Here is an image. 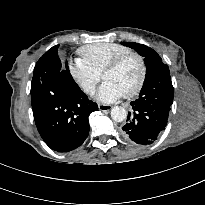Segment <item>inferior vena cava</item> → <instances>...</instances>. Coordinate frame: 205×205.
<instances>
[{"mask_svg": "<svg viewBox=\"0 0 205 205\" xmlns=\"http://www.w3.org/2000/svg\"><path fill=\"white\" fill-rule=\"evenodd\" d=\"M85 91H86L87 93L94 94L95 88H94L93 86H89V87H87V88L85 89Z\"/></svg>", "mask_w": 205, "mask_h": 205, "instance_id": "obj_1", "label": "inferior vena cava"}]
</instances>
